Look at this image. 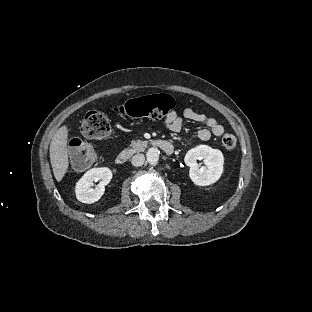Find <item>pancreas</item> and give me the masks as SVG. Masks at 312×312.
<instances>
[{
    "label": "pancreas",
    "instance_id": "pancreas-1",
    "mask_svg": "<svg viewBox=\"0 0 312 312\" xmlns=\"http://www.w3.org/2000/svg\"><path fill=\"white\" fill-rule=\"evenodd\" d=\"M129 146H130L129 152L131 154L140 153L145 150L146 146H148V141L147 140L139 141V140L134 139L131 141Z\"/></svg>",
    "mask_w": 312,
    "mask_h": 312
}]
</instances>
